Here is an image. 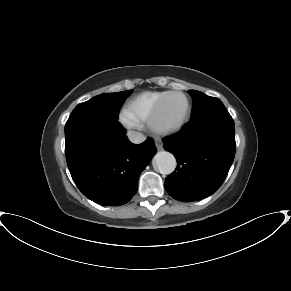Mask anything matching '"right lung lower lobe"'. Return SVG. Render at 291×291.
<instances>
[{"mask_svg":"<svg viewBox=\"0 0 291 291\" xmlns=\"http://www.w3.org/2000/svg\"><path fill=\"white\" fill-rule=\"evenodd\" d=\"M147 138L133 144L118 120L78 114L65 124V155L79 190L93 202L119 206L131 200L138 178L156 153Z\"/></svg>","mask_w":291,"mask_h":291,"instance_id":"1","label":"right lung lower lobe"}]
</instances>
